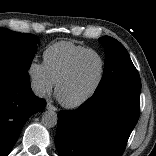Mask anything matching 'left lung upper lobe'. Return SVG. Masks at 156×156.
<instances>
[{
  "label": "left lung upper lobe",
  "instance_id": "obj_1",
  "mask_svg": "<svg viewBox=\"0 0 156 156\" xmlns=\"http://www.w3.org/2000/svg\"><path fill=\"white\" fill-rule=\"evenodd\" d=\"M106 51L104 72L95 93L112 89L127 88L141 91V81L125 47L116 39L99 38Z\"/></svg>",
  "mask_w": 156,
  "mask_h": 156
}]
</instances>
